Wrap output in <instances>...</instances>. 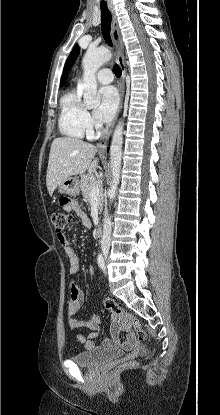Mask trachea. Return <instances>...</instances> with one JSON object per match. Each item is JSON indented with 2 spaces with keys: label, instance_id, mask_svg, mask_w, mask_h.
Returning <instances> with one entry per match:
<instances>
[{
  "label": "trachea",
  "instance_id": "3493384b",
  "mask_svg": "<svg viewBox=\"0 0 220 415\" xmlns=\"http://www.w3.org/2000/svg\"><path fill=\"white\" fill-rule=\"evenodd\" d=\"M100 9H101V31H102V35L106 41V43L109 46H112V41H111V37H110V30H111V19H112V15L110 13V11L107 8L106 4H101L100 5ZM114 73L116 77H120L122 72L121 69L119 67L118 64L114 65Z\"/></svg>",
  "mask_w": 220,
  "mask_h": 415
}]
</instances>
